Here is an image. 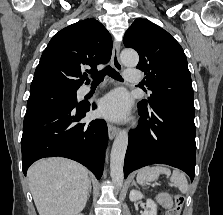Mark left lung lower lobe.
<instances>
[{
    "mask_svg": "<svg viewBox=\"0 0 223 215\" xmlns=\"http://www.w3.org/2000/svg\"><path fill=\"white\" fill-rule=\"evenodd\" d=\"M139 126L129 132L124 177L151 164H167L195 176L194 112L164 105L143 107Z\"/></svg>",
    "mask_w": 223,
    "mask_h": 215,
    "instance_id": "obj_1",
    "label": "left lung lower lobe"
}]
</instances>
